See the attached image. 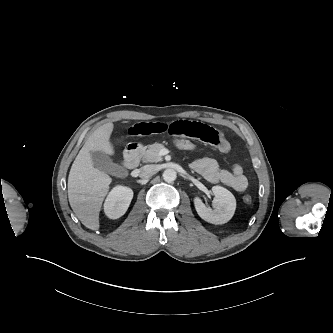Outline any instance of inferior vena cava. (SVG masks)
I'll list each match as a JSON object with an SVG mask.
<instances>
[{
  "mask_svg": "<svg viewBox=\"0 0 333 333\" xmlns=\"http://www.w3.org/2000/svg\"><path fill=\"white\" fill-rule=\"evenodd\" d=\"M158 172V167L155 165H145L140 168V177L141 178H150Z\"/></svg>",
  "mask_w": 333,
  "mask_h": 333,
  "instance_id": "inferior-vena-cava-1",
  "label": "inferior vena cava"
}]
</instances>
